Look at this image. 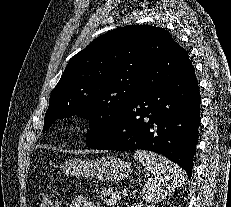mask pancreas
<instances>
[{
	"label": "pancreas",
	"mask_w": 231,
	"mask_h": 207,
	"mask_svg": "<svg viewBox=\"0 0 231 207\" xmlns=\"http://www.w3.org/2000/svg\"><path fill=\"white\" fill-rule=\"evenodd\" d=\"M97 194L107 205L116 204L122 196L120 191L106 188L100 189Z\"/></svg>",
	"instance_id": "1"
}]
</instances>
